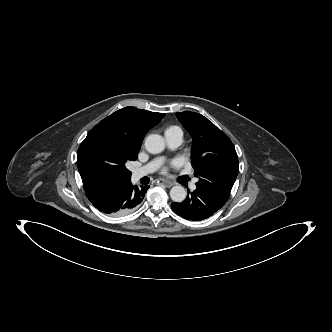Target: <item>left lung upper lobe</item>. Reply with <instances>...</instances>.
Returning a JSON list of instances; mask_svg holds the SVG:
<instances>
[{
    "label": "left lung upper lobe",
    "instance_id": "5c2ea615",
    "mask_svg": "<svg viewBox=\"0 0 332 332\" xmlns=\"http://www.w3.org/2000/svg\"><path fill=\"white\" fill-rule=\"evenodd\" d=\"M177 118L193 138L192 166L196 187L226 203L238 174V157L227 135L194 112H178Z\"/></svg>",
    "mask_w": 332,
    "mask_h": 332
}]
</instances>
